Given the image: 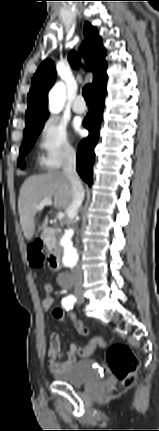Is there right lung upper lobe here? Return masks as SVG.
Returning <instances> with one entry per match:
<instances>
[{
  "label": "right lung upper lobe",
  "mask_w": 159,
  "mask_h": 431,
  "mask_svg": "<svg viewBox=\"0 0 159 431\" xmlns=\"http://www.w3.org/2000/svg\"><path fill=\"white\" fill-rule=\"evenodd\" d=\"M85 39L82 44L83 57L85 59L87 70L94 74V90L107 81L105 49L102 46L101 37L97 30L89 23L84 27ZM79 54L72 51L69 54V61L73 68L79 65ZM55 66L52 60H44L32 79V87L28 94V109L26 111V128H32L42 122H45L49 116L47 110L49 89L55 82Z\"/></svg>",
  "instance_id": "right-lung-upper-lobe-1"
}]
</instances>
